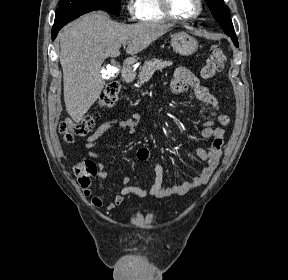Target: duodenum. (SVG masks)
<instances>
[{
	"label": "duodenum",
	"instance_id": "duodenum-1",
	"mask_svg": "<svg viewBox=\"0 0 288 280\" xmlns=\"http://www.w3.org/2000/svg\"><path fill=\"white\" fill-rule=\"evenodd\" d=\"M133 70L132 68L129 66V64L124 63L122 70H121V76L124 82H129L132 77H133Z\"/></svg>",
	"mask_w": 288,
	"mask_h": 280
}]
</instances>
